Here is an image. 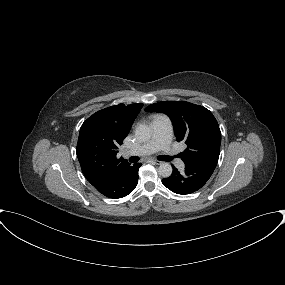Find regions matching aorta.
<instances>
[{
  "label": "aorta",
  "instance_id": "aorta-1",
  "mask_svg": "<svg viewBox=\"0 0 285 285\" xmlns=\"http://www.w3.org/2000/svg\"><path fill=\"white\" fill-rule=\"evenodd\" d=\"M152 133V128L146 124H139L135 129V136L142 141L149 140L152 137ZM172 171V166L167 162H163L159 165L158 173L164 178L170 177Z\"/></svg>",
  "mask_w": 285,
  "mask_h": 285
}]
</instances>
